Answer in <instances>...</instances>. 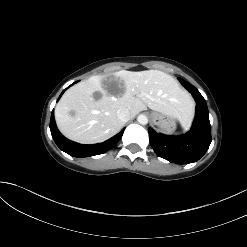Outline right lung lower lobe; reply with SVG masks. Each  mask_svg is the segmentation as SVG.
<instances>
[{
	"mask_svg": "<svg viewBox=\"0 0 247 247\" xmlns=\"http://www.w3.org/2000/svg\"><path fill=\"white\" fill-rule=\"evenodd\" d=\"M63 92L61 93V95L63 94ZM50 130H51V135L55 143L57 144V146L62 151L74 157H90L94 155L103 154L107 152L108 150H110L112 147H114V145L120 140L124 132V128H123L117 135H115L114 137H112L111 139L103 143L93 144V145L78 144V143H75V142H72L66 139L59 132L55 124L53 111H52L51 120H50Z\"/></svg>",
	"mask_w": 247,
	"mask_h": 247,
	"instance_id": "98d812e1",
	"label": "right lung lower lobe"
}]
</instances>
